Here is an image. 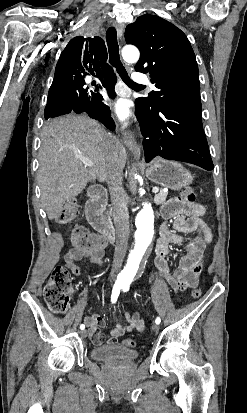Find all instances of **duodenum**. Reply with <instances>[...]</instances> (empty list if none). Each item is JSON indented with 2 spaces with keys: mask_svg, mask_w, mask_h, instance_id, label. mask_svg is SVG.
<instances>
[{
  "mask_svg": "<svg viewBox=\"0 0 247 413\" xmlns=\"http://www.w3.org/2000/svg\"><path fill=\"white\" fill-rule=\"evenodd\" d=\"M107 199L106 189L103 186H95L90 192L86 204V217L95 230L113 241L115 239V231L102 215V211L107 205Z\"/></svg>",
  "mask_w": 247,
  "mask_h": 413,
  "instance_id": "1",
  "label": "duodenum"
}]
</instances>
